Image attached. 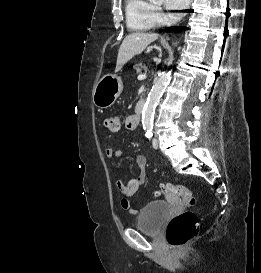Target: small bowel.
<instances>
[{"label":"small bowel","mask_w":261,"mask_h":273,"mask_svg":"<svg viewBox=\"0 0 261 273\" xmlns=\"http://www.w3.org/2000/svg\"><path fill=\"white\" fill-rule=\"evenodd\" d=\"M123 122L125 128L128 130H133L137 126L134 115L124 116ZM123 153L124 150L121 148L115 149L112 147H108L105 149V155L107 158H118L121 157ZM135 162L137 166L140 168V174L137 178L130 179L127 182H124L119 178L116 180L117 189L124 195L120 202L121 207L132 214H135L136 210L131 208L129 198L132 197L137 192V190L142 185H144L146 181L147 160L144 155H137L135 157Z\"/></svg>","instance_id":"obj_1"}]
</instances>
